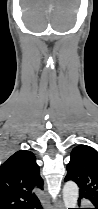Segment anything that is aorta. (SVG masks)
<instances>
[{"mask_svg": "<svg viewBox=\"0 0 98 209\" xmlns=\"http://www.w3.org/2000/svg\"><path fill=\"white\" fill-rule=\"evenodd\" d=\"M79 196V189L76 183L69 181L63 187V201L66 209L76 208Z\"/></svg>", "mask_w": 98, "mask_h": 209, "instance_id": "1", "label": "aorta"}]
</instances>
